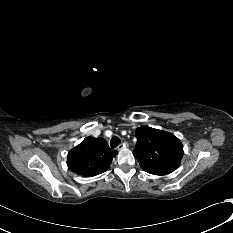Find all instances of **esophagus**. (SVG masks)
I'll return each mask as SVG.
<instances>
[{
  "mask_svg": "<svg viewBox=\"0 0 233 233\" xmlns=\"http://www.w3.org/2000/svg\"><path fill=\"white\" fill-rule=\"evenodd\" d=\"M128 147V143H122V144H120L118 147H117V150L118 151H121V150H123V149H125V148H127Z\"/></svg>",
  "mask_w": 233,
  "mask_h": 233,
  "instance_id": "obj_1",
  "label": "esophagus"
}]
</instances>
